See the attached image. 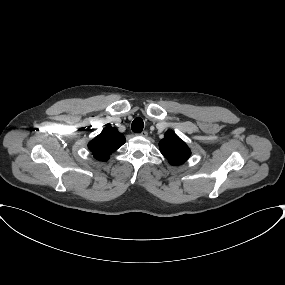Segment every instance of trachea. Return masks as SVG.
<instances>
[{"mask_svg":"<svg viewBox=\"0 0 285 285\" xmlns=\"http://www.w3.org/2000/svg\"><path fill=\"white\" fill-rule=\"evenodd\" d=\"M144 127V122L141 118H135L132 122L131 129L135 133H141Z\"/></svg>","mask_w":285,"mask_h":285,"instance_id":"obj_1","label":"trachea"}]
</instances>
